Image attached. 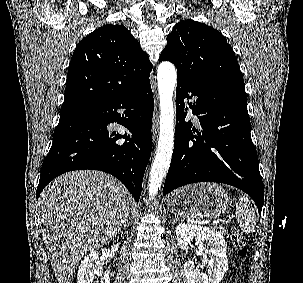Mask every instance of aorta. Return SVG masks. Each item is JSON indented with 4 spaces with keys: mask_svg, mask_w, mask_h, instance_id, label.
Returning a JSON list of instances; mask_svg holds the SVG:
<instances>
[{
    "mask_svg": "<svg viewBox=\"0 0 303 283\" xmlns=\"http://www.w3.org/2000/svg\"><path fill=\"white\" fill-rule=\"evenodd\" d=\"M158 90L160 99V132L159 140L154 158L148 194L150 199H154L165 178L174 147V105L173 92L177 80L175 66L168 62H162L157 71Z\"/></svg>",
    "mask_w": 303,
    "mask_h": 283,
    "instance_id": "762f6f07",
    "label": "aorta"
}]
</instances>
